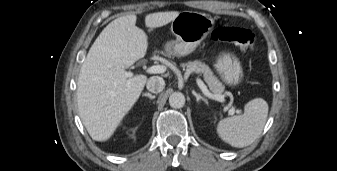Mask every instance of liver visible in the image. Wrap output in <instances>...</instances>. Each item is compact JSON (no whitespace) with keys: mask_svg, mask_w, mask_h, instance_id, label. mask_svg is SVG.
Returning a JSON list of instances; mask_svg holds the SVG:
<instances>
[{"mask_svg":"<svg viewBox=\"0 0 337 171\" xmlns=\"http://www.w3.org/2000/svg\"><path fill=\"white\" fill-rule=\"evenodd\" d=\"M178 15V11L151 13L145 16V25L162 27ZM136 20L132 14L110 22L94 41L80 69L78 111L93 140L106 141L112 136L147 82L142 74L129 79L125 75V69L143 58L148 48L147 35L136 26Z\"/></svg>","mask_w":337,"mask_h":171,"instance_id":"obj_1","label":"liver"}]
</instances>
